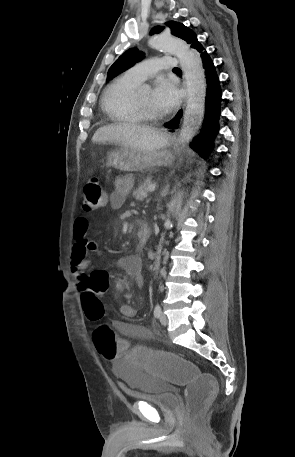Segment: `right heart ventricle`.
Instances as JSON below:
<instances>
[{"instance_id":"right-heart-ventricle-1","label":"right heart ventricle","mask_w":295,"mask_h":457,"mask_svg":"<svg viewBox=\"0 0 295 457\" xmlns=\"http://www.w3.org/2000/svg\"><path fill=\"white\" fill-rule=\"evenodd\" d=\"M139 84L140 82L125 74L106 87L102 96V108L112 121L127 124L145 121L133 102V93Z\"/></svg>"}]
</instances>
